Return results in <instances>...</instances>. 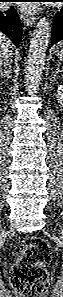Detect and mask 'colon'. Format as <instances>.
Returning a JSON list of instances; mask_svg holds the SVG:
<instances>
[{
  "label": "colon",
  "instance_id": "obj_1",
  "mask_svg": "<svg viewBox=\"0 0 63 297\" xmlns=\"http://www.w3.org/2000/svg\"><path fill=\"white\" fill-rule=\"evenodd\" d=\"M51 259L48 244L38 237L25 238L13 268L11 284L23 297H42L48 286L45 267Z\"/></svg>",
  "mask_w": 63,
  "mask_h": 297
}]
</instances>
